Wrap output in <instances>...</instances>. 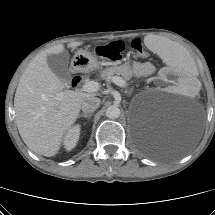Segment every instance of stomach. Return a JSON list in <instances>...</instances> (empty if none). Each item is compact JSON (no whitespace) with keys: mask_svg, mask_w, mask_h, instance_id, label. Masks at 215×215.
<instances>
[{"mask_svg":"<svg viewBox=\"0 0 215 215\" xmlns=\"http://www.w3.org/2000/svg\"><path fill=\"white\" fill-rule=\"evenodd\" d=\"M72 67L76 71H92L99 67V63L95 55L81 49L75 53L72 59Z\"/></svg>","mask_w":215,"mask_h":215,"instance_id":"obj_1","label":"stomach"}]
</instances>
